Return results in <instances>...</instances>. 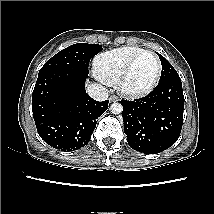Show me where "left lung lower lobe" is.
I'll list each match as a JSON object with an SVG mask.
<instances>
[{"label":"left lung lower lobe","mask_w":214,"mask_h":214,"mask_svg":"<svg viewBox=\"0 0 214 214\" xmlns=\"http://www.w3.org/2000/svg\"><path fill=\"white\" fill-rule=\"evenodd\" d=\"M124 132L132 149L156 154L171 147L183 124L184 95L180 78L158 83L147 96L121 100Z\"/></svg>","instance_id":"left-lung-lower-lobe-1"}]
</instances>
